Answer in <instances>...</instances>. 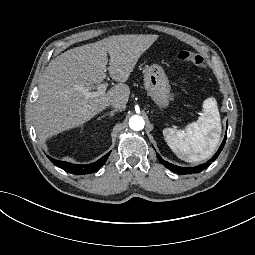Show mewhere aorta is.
Returning <instances> with one entry per match:
<instances>
[{
	"mask_svg": "<svg viewBox=\"0 0 255 255\" xmlns=\"http://www.w3.org/2000/svg\"><path fill=\"white\" fill-rule=\"evenodd\" d=\"M145 122L141 116H132L129 120V126L132 130L139 131L144 128Z\"/></svg>",
	"mask_w": 255,
	"mask_h": 255,
	"instance_id": "1",
	"label": "aorta"
}]
</instances>
